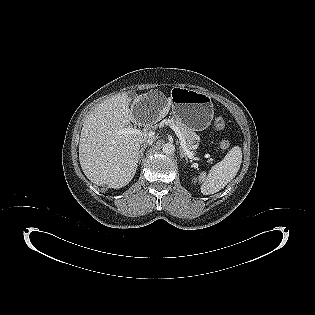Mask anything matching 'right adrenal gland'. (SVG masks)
<instances>
[{
    "mask_svg": "<svg viewBox=\"0 0 315 315\" xmlns=\"http://www.w3.org/2000/svg\"><path fill=\"white\" fill-rule=\"evenodd\" d=\"M146 147H147V145H143L141 147V149L139 150V163L141 162V159H142V157L144 155V151H145Z\"/></svg>",
    "mask_w": 315,
    "mask_h": 315,
    "instance_id": "right-adrenal-gland-1",
    "label": "right adrenal gland"
}]
</instances>
